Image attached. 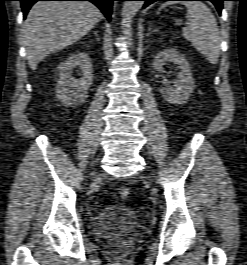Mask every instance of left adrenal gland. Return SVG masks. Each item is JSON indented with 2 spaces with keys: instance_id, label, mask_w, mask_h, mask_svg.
Here are the masks:
<instances>
[{
  "instance_id": "a2214340",
  "label": "left adrenal gland",
  "mask_w": 247,
  "mask_h": 265,
  "mask_svg": "<svg viewBox=\"0 0 247 265\" xmlns=\"http://www.w3.org/2000/svg\"><path fill=\"white\" fill-rule=\"evenodd\" d=\"M156 31H158L157 29H152V27L150 26L149 28H148V36L152 33V32H156Z\"/></svg>"
}]
</instances>
